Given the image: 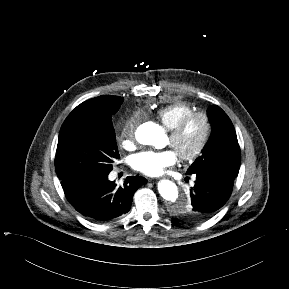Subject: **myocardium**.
<instances>
[{
  "mask_svg": "<svg viewBox=\"0 0 289 289\" xmlns=\"http://www.w3.org/2000/svg\"><path fill=\"white\" fill-rule=\"evenodd\" d=\"M194 118H200L203 122L204 131L200 142L194 150L189 153H179V157L184 161H192L198 158L205 150L212 131V124L209 116L204 112H191L182 117L176 125L170 129V138L175 141L183 132L186 125Z\"/></svg>",
  "mask_w": 289,
  "mask_h": 289,
  "instance_id": "myocardium-1",
  "label": "myocardium"
}]
</instances>
